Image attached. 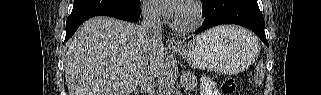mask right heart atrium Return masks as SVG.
<instances>
[{
	"label": "right heart atrium",
	"mask_w": 321,
	"mask_h": 95,
	"mask_svg": "<svg viewBox=\"0 0 321 95\" xmlns=\"http://www.w3.org/2000/svg\"><path fill=\"white\" fill-rule=\"evenodd\" d=\"M143 13H144V16L146 18H148L149 20H156L157 19V13H156L155 9L150 5H145L143 7Z\"/></svg>",
	"instance_id": "right-heart-atrium-1"
}]
</instances>
